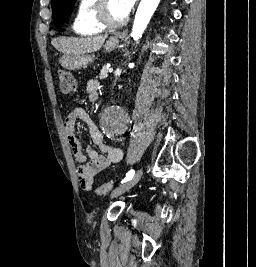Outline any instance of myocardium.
Here are the masks:
<instances>
[{"label": "myocardium", "instance_id": "1", "mask_svg": "<svg viewBox=\"0 0 256 267\" xmlns=\"http://www.w3.org/2000/svg\"><path fill=\"white\" fill-rule=\"evenodd\" d=\"M113 0H98L97 10L94 14V20L98 26H100L103 30L111 31L115 29L116 26H112L109 23L107 10L109 7V3Z\"/></svg>", "mask_w": 256, "mask_h": 267}]
</instances>
